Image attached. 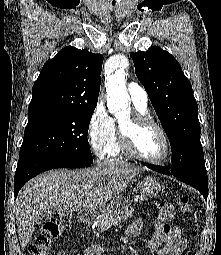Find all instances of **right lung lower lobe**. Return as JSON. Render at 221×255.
<instances>
[{
	"instance_id": "right-lung-lower-lobe-1",
	"label": "right lung lower lobe",
	"mask_w": 221,
	"mask_h": 255,
	"mask_svg": "<svg viewBox=\"0 0 221 255\" xmlns=\"http://www.w3.org/2000/svg\"><path fill=\"white\" fill-rule=\"evenodd\" d=\"M92 163L71 160L67 158L40 155V154H24L19 157L14 180V195H18L21 187L32 177L46 170L54 168H83L88 167Z\"/></svg>"
}]
</instances>
